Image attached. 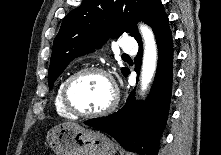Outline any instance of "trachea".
<instances>
[{
	"instance_id": "obj_1",
	"label": "trachea",
	"mask_w": 221,
	"mask_h": 155,
	"mask_svg": "<svg viewBox=\"0 0 221 155\" xmlns=\"http://www.w3.org/2000/svg\"><path fill=\"white\" fill-rule=\"evenodd\" d=\"M123 57H124V58H128L129 56L125 54V55H123Z\"/></svg>"
}]
</instances>
